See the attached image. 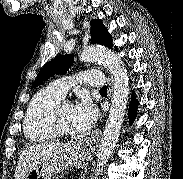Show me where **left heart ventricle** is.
Masks as SVG:
<instances>
[{
  "label": "left heart ventricle",
  "mask_w": 183,
  "mask_h": 179,
  "mask_svg": "<svg viewBox=\"0 0 183 179\" xmlns=\"http://www.w3.org/2000/svg\"><path fill=\"white\" fill-rule=\"evenodd\" d=\"M59 126L69 132L77 131L73 120V106L70 104L63 105L58 116Z\"/></svg>",
  "instance_id": "b2bd125f"
}]
</instances>
